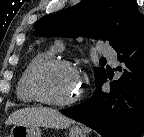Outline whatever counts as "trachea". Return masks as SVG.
Returning a JSON list of instances; mask_svg holds the SVG:
<instances>
[{"label": "trachea", "mask_w": 144, "mask_h": 137, "mask_svg": "<svg viewBox=\"0 0 144 137\" xmlns=\"http://www.w3.org/2000/svg\"><path fill=\"white\" fill-rule=\"evenodd\" d=\"M101 61H106V59L105 58H101Z\"/></svg>", "instance_id": "trachea-1"}]
</instances>
